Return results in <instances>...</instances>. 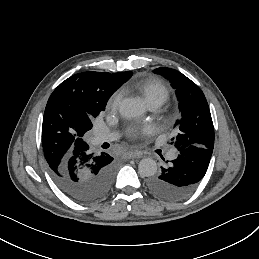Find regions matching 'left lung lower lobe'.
I'll return each mask as SVG.
<instances>
[{"mask_svg":"<svg viewBox=\"0 0 259 259\" xmlns=\"http://www.w3.org/2000/svg\"><path fill=\"white\" fill-rule=\"evenodd\" d=\"M159 176L151 177L147 186L156 196L165 200H181L190 195L206 174L213 149L189 146ZM168 162V161H167Z\"/></svg>","mask_w":259,"mask_h":259,"instance_id":"left-lung-lower-lobe-1","label":"left lung lower lobe"}]
</instances>
